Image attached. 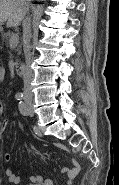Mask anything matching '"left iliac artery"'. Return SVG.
<instances>
[{
    "label": "left iliac artery",
    "instance_id": "1",
    "mask_svg": "<svg viewBox=\"0 0 119 185\" xmlns=\"http://www.w3.org/2000/svg\"><path fill=\"white\" fill-rule=\"evenodd\" d=\"M18 106H19V110H20L21 114L27 115V107H26L25 103L23 101H20Z\"/></svg>",
    "mask_w": 119,
    "mask_h": 185
}]
</instances>
